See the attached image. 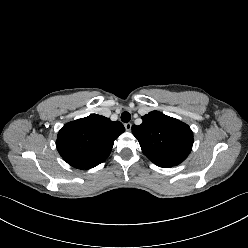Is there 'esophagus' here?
Here are the masks:
<instances>
[{
  "label": "esophagus",
  "instance_id": "34e87169",
  "mask_svg": "<svg viewBox=\"0 0 248 248\" xmlns=\"http://www.w3.org/2000/svg\"><path fill=\"white\" fill-rule=\"evenodd\" d=\"M124 127L127 131H130L131 130V127H132V124L131 123H125L124 124Z\"/></svg>",
  "mask_w": 248,
  "mask_h": 248
}]
</instances>
